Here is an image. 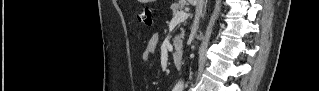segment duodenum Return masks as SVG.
<instances>
[{
    "label": "duodenum",
    "instance_id": "410a0bca",
    "mask_svg": "<svg viewBox=\"0 0 319 91\" xmlns=\"http://www.w3.org/2000/svg\"><path fill=\"white\" fill-rule=\"evenodd\" d=\"M172 55H173V60H174V62L176 64V66L178 68H180L182 66V62H183V53H182V51L181 50H175Z\"/></svg>",
    "mask_w": 319,
    "mask_h": 91
}]
</instances>
